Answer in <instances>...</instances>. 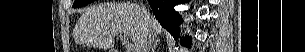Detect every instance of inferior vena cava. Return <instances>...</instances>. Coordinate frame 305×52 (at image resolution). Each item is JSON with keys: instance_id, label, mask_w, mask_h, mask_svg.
<instances>
[{"instance_id": "602c4592", "label": "inferior vena cava", "mask_w": 305, "mask_h": 52, "mask_svg": "<svg viewBox=\"0 0 305 52\" xmlns=\"http://www.w3.org/2000/svg\"><path fill=\"white\" fill-rule=\"evenodd\" d=\"M141 13L145 19H149V13L145 8H141ZM154 41V35L149 30H147L138 45L136 46V52H149L152 42Z\"/></svg>"}]
</instances>
